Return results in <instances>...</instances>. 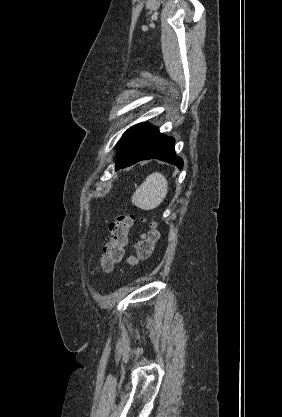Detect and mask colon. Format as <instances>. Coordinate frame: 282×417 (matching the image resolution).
<instances>
[{
	"mask_svg": "<svg viewBox=\"0 0 282 417\" xmlns=\"http://www.w3.org/2000/svg\"><path fill=\"white\" fill-rule=\"evenodd\" d=\"M135 222L132 214H122L115 217L109 224V241L99 259V269L110 271L123 259L125 247L128 243L129 231ZM159 240V233L155 223L150 225L146 235L141 237L135 245V253L128 259V268H134L140 262L148 260Z\"/></svg>",
	"mask_w": 282,
	"mask_h": 417,
	"instance_id": "colon-1",
	"label": "colon"
}]
</instances>
